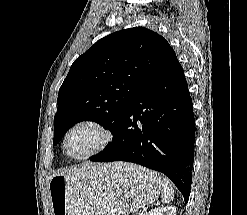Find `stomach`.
<instances>
[{"label": "stomach", "instance_id": "1", "mask_svg": "<svg viewBox=\"0 0 247 215\" xmlns=\"http://www.w3.org/2000/svg\"><path fill=\"white\" fill-rule=\"evenodd\" d=\"M48 189L52 215H129L157 200L161 178L146 168L119 162L72 176L55 175Z\"/></svg>", "mask_w": 247, "mask_h": 215}]
</instances>
